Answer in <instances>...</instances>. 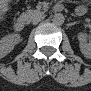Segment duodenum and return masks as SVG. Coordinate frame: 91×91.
<instances>
[{"label": "duodenum", "instance_id": "obj_1", "mask_svg": "<svg viewBox=\"0 0 91 91\" xmlns=\"http://www.w3.org/2000/svg\"><path fill=\"white\" fill-rule=\"evenodd\" d=\"M54 11H62L63 10V5L61 3H56L53 7ZM26 27V21L22 18L17 19L13 23V28L15 31H22Z\"/></svg>", "mask_w": 91, "mask_h": 91}]
</instances>
